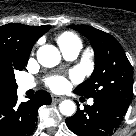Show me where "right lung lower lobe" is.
<instances>
[{"mask_svg":"<svg viewBox=\"0 0 136 136\" xmlns=\"http://www.w3.org/2000/svg\"><path fill=\"white\" fill-rule=\"evenodd\" d=\"M51 96L37 91L27 102L17 104V93L0 97V136H28L37 122V110L49 105Z\"/></svg>","mask_w":136,"mask_h":136,"instance_id":"98d812e1","label":"right lung lower lobe"}]
</instances>
